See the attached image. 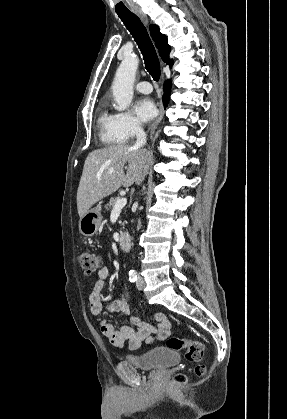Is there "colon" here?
<instances>
[{"label":"colon","mask_w":287,"mask_h":419,"mask_svg":"<svg viewBox=\"0 0 287 419\" xmlns=\"http://www.w3.org/2000/svg\"><path fill=\"white\" fill-rule=\"evenodd\" d=\"M79 262L84 275L91 276L103 268L102 256L93 250H83L79 255ZM166 345L173 350L183 351L189 362L198 363L195 372L198 376L205 374L206 368L202 364L205 356V350L202 343L187 338L169 337ZM175 383L184 384L188 378L183 374H178L174 378Z\"/></svg>","instance_id":"5ec220e1"}]
</instances>
